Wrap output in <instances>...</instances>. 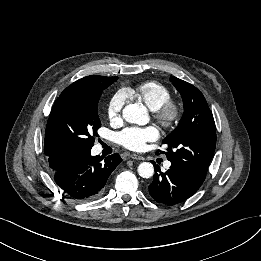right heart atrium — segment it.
I'll use <instances>...</instances> for the list:
<instances>
[{"label":"right heart atrium","mask_w":261,"mask_h":261,"mask_svg":"<svg viewBox=\"0 0 261 261\" xmlns=\"http://www.w3.org/2000/svg\"><path fill=\"white\" fill-rule=\"evenodd\" d=\"M126 96L125 91L120 90L114 93L109 99L107 104V117L112 123H118L122 120Z\"/></svg>","instance_id":"d8ad5b80"}]
</instances>
